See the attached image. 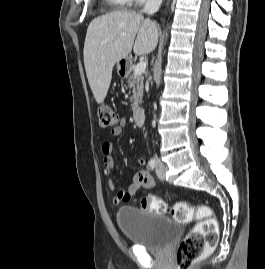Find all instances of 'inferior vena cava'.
I'll use <instances>...</instances> for the list:
<instances>
[{
	"mask_svg": "<svg viewBox=\"0 0 265 269\" xmlns=\"http://www.w3.org/2000/svg\"><path fill=\"white\" fill-rule=\"evenodd\" d=\"M162 3V0H147L143 12L148 14L156 13Z\"/></svg>",
	"mask_w": 265,
	"mask_h": 269,
	"instance_id": "1",
	"label": "inferior vena cava"
}]
</instances>
